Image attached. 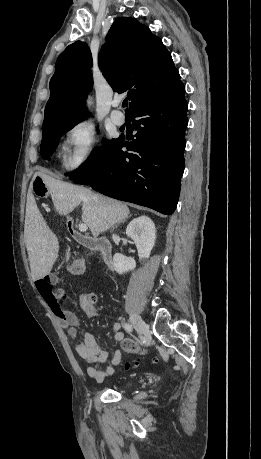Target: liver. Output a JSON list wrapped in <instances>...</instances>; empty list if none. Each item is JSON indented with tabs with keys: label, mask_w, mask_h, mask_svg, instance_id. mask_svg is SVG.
Returning <instances> with one entry per match:
<instances>
[{
	"label": "liver",
	"mask_w": 261,
	"mask_h": 459,
	"mask_svg": "<svg viewBox=\"0 0 261 459\" xmlns=\"http://www.w3.org/2000/svg\"><path fill=\"white\" fill-rule=\"evenodd\" d=\"M35 176H40L46 184L54 208L60 215H67L82 204V221L89 227L94 238L115 224L123 222L129 216V208L115 199L96 194L88 188L58 180L45 170L36 172ZM32 193L30 185L25 243L32 278L38 280L50 273L58 257L59 241L43 220Z\"/></svg>",
	"instance_id": "obj_1"
}]
</instances>
